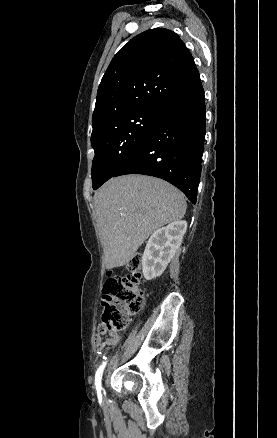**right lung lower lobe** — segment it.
<instances>
[{
	"instance_id": "98d812e1",
	"label": "right lung lower lobe",
	"mask_w": 277,
	"mask_h": 438,
	"mask_svg": "<svg viewBox=\"0 0 277 438\" xmlns=\"http://www.w3.org/2000/svg\"><path fill=\"white\" fill-rule=\"evenodd\" d=\"M171 68L172 65L165 64L161 70ZM205 131V98L199 81L162 104L143 143L113 177L125 174L159 177L178 187L195 204Z\"/></svg>"
}]
</instances>
